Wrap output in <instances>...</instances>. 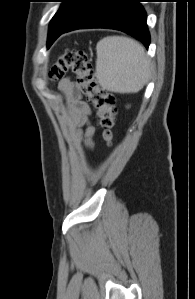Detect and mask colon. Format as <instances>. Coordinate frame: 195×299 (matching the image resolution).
I'll use <instances>...</instances> for the list:
<instances>
[{
	"instance_id": "obj_1",
	"label": "colon",
	"mask_w": 195,
	"mask_h": 299,
	"mask_svg": "<svg viewBox=\"0 0 195 299\" xmlns=\"http://www.w3.org/2000/svg\"><path fill=\"white\" fill-rule=\"evenodd\" d=\"M67 73L76 76L82 93L96 111L103 139L110 142L113 138L117 117L115 96L99 86L89 57L83 50H65L62 52L51 67L50 78L58 80Z\"/></svg>"
}]
</instances>
